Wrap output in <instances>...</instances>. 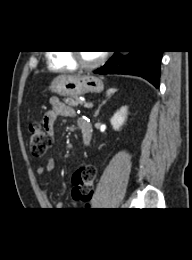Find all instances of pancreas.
<instances>
[{
	"label": "pancreas",
	"mask_w": 192,
	"mask_h": 260,
	"mask_svg": "<svg viewBox=\"0 0 192 260\" xmlns=\"http://www.w3.org/2000/svg\"><path fill=\"white\" fill-rule=\"evenodd\" d=\"M64 102L72 107H77L78 105L82 104V101L78 98H66Z\"/></svg>",
	"instance_id": "cf45deb5"
}]
</instances>
